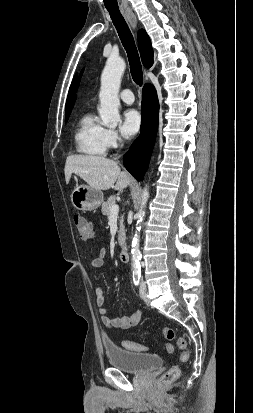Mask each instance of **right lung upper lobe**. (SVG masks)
Returning <instances> with one entry per match:
<instances>
[{
    "instance_id": "cb5924a9",
    "label": "right lung upper lobe",
    "mask_w": 253,
    "mask_h": 413,
    "mask_svg": "<svg viewBox=\"0 0 253 413\" xmlns=\"http://www.w3.org/2000/svg\"><path fill=\"white\" fill-rule=\"evenodd\" d=\"M138 46L141 54V59L145 67H151L153 65V50L151 46V41L145 30H139L138 32ZM75 79L73 80L71 87L69 89L66 105H65V116L70 115L73 104H74V96H73V84Z\"/></svg>"
}]
</instances>
